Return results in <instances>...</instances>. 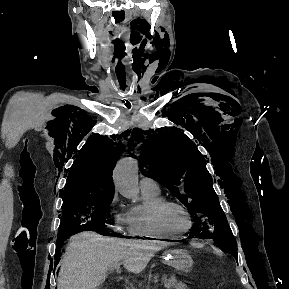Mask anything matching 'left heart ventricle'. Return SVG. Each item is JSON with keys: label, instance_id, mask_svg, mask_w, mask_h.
<instances>
[{"label": "left heart ventricle", "instance_id": "left-heart-ventricle-1", "mask_svg": "<svg viewBox=\"0 0 289 289\" xmlns=\"http://www.w3.org/2000/svg\"><path fill=\"white\" fill-rule=\"evenodd\" d=\"M164 227L174 233L183 231L188 226L184 212L175 206L165 208L161 216Z\"/></svg>", "mask_w": 289, "mask_h": 289}]
</instances>
